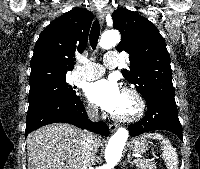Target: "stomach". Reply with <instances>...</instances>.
Instances as JSON below:
<instances>
[{"mask_svg":"<svg viewBox=\"0 0 200 169\" xmlns=\"http://www.w3.org/2000/svg\"><path fill=\"white\" fill-rule=\"evenodd\" d=\"M131 150L137 154H144L148 149V143L143 137H137L131 142Z\"/></svg>","mask_w":200,"mask_h":169,"instance_id":"stomach-1","label":"stomach"}]
</instances>
